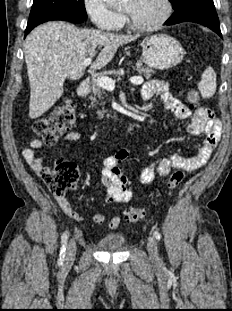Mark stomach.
Wrapping results in <instances>:
<instances>
[{
    "mask_svg": "<svg viewBox=\"0 0 232 311\" xmlns=\"http://www.w3.org/2000/svg\"><path fill=\"white\" fill-rule=\"evenodd\" d=\"M184 57V49L174 37L156 34L142 43L143 61L151 68L166 70L178 65Z\"/></svg>",
    "mask_w": 232,
    "mask_h": 311,
    "instance_id": "stomach-1",
    "label": "stomach"
}]
</instances>
